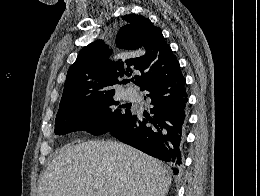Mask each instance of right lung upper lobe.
I'll return each instance as SVG.
<instances>
[{"label":"right lung upper lobe","instance_id":"1","mask_svg":"<svg viewBox=\"0 0 260 196\" xmlns=\"http://www.w3.org/2000/svg\"><path fill=\"white\" fill-rule=\"evenodd\" d=\"M122 20L114 41L115 59L109 61L112 51L102 40L84 47L68 70L58 111L85 97L115 92L111 87L123 83L121 78L133 71L140 74L134 83L142 89L179 70L161 30L148 18L129 14Z\"/></svg>","mask_w":260,"mask_h":196}]
</instances>
